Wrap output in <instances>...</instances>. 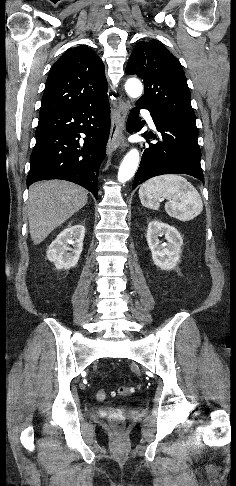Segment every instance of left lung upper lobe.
<instances>
[{
	"mask_svg": "<svg viewBox=\"0 0 236 486\" xmlns=\"http://www.w3.org/2000/svg\"><path fill=\"white\" fill-rule=\"evenodd\" d=\"M126 72L144 81V95L137 102L152 106L171 120L196 127L183 68L163 45L154 40L138 42Z\"/></svg>",
	"mask_w": 236,
	"mask_h": 486,
	"instance_id": "left-lung-upper-lobe-1",
	"label": "left lung upper lobe"
}]
</instances>
